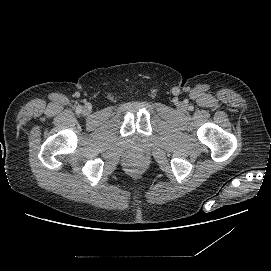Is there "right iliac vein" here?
I'll list each match as a JSON object with an SVG mask.
<instances>
[{"instance_id":"right-iliac-vein-1","label":"right iliac vein","mask_w":271,"mask_h":271,"mask_svg":"<svg viewBox=\"0 0 271 271\" xmlns=\"http://www.w3.org/2000/svg\"><path fill=\"white\" fill-rule=\"evenodd\" d=\"M82 112L84 114H89L91 113V107L90 106H84L83 109H82Z\"/></svg>"}]
</instances>
